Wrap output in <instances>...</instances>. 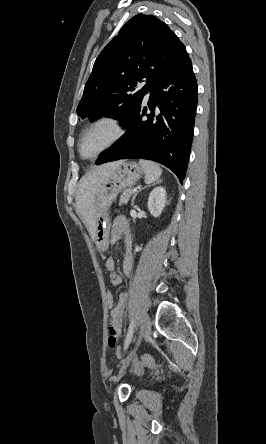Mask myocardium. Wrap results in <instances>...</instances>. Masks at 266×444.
<instances>
[{
	"label": "myocardium",
	"instance_id": "f54148a6",
	"mask_svg": "<svg viewBox=\"0 0 266 444\" xmlns=\"http://www.w3.org/2000/svg\"><path fill=\"white\" fill-rule=\"evenodd\" d=\"M101 125L109 126L112 130V136L110 140L107 142V144L103 148L98 150L95 154H93L92 157L98 156L108 151L112 147H114L122 139V137L126 132V128L123 121L116 116L103 115L96 118L84 128V130L81 132L79 136L77 147H78V152L82 157L86 156L83 153V147H82L84 137L86 136L87 133H89L90 131Z\"/></svg>",
	"mask_w": 266,
	"mask_h": 444
}]
</instances>
